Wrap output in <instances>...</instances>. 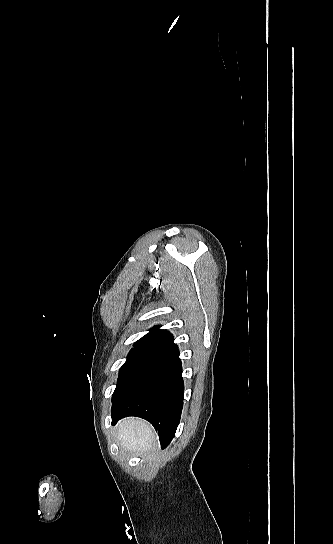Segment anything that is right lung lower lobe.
<instances>
[{
    "label": "right lung lower lobe",
    "mask_w": 333,
    "mask_h": 544,
    "mask_svg": "<svg viewBox=\"0 0 333 544\" xmlns=\"http://www.w3.org/2000/svg\"><path fill=\"white\" fill-rule=\"evenodd\" d=\"M184 384L179 350L173 341L151 349L125 385L112 397V424L127 416L149 421L161 447L175 436L183 408Z\"/></svg>",
    "instance_id": "right-lung-lower-lobe-1"
}]
</instances>
